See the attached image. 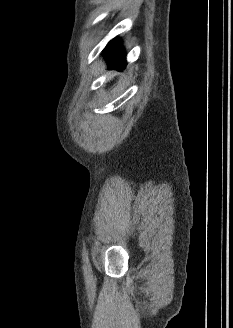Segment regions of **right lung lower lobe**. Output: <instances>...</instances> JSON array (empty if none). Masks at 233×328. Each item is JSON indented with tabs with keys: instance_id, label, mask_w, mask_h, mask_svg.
Segmentation results:
<instances>
[{
	"instance_id": "right-lung-lower-lobe-1",
	"label": "right lung lower lobe",
	"mask_w": 233,
	"mask_h": 328,
	"mask_svg": "<svg viewBox=\"0 0 233 328\" xmlns=\"http://www.w3.org/2000/svg\"><path fill=\"white\" fill-rule=\"evenodd\" d=\"M106 55L109 59V67L116 68L117 70H123L126 66L125 57L120 47V40L113 39L106 46Z\"/></svg>"
}]
</instances>
